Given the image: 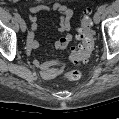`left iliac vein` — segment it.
Instances as JSON below:
<instances>
[{"mask_svg":"<svg viewBox=\"0 0 119 119\" xmlns=\"http://www.w3.org/2000/svg\"><path fill=\"white\" fill-rule=\"evenodd\" d=\"M101 15H102V12L97 10L96 13L94 14V22L96 24H98L100 22V19H101Z\"/></svg>","mask_w":119,"mask_h":119,"instance_id":"1","label":"left iliac vein"}]
</instances>
